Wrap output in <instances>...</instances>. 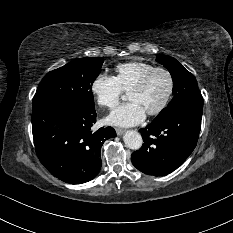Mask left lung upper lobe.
<instances>
[{"label": "left lung upper lobe", "mask_w": 233, "mask_h": 233, "mask_svg": "<svg viewBox=\"0 0 233 233\" xmlns=\"http://www.w3.org/2000/svg\"><path fill=\"white\" fill-rule=\"evenodd\" d=\"M170 72L173 79V99L153 120L155 122L164 120L178 110L195 100H202L197 81L192 73L187 71L176 59L160 55L156 59Z\"/></svg>", "instance_id": "left-lung-upper-lobe-1"}]
</instances>
